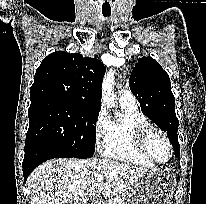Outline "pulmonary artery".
Instances as JSON below:
<instances>
[{
    "label": "pulmonary artery",
    "instance_id": "e3ab8cb5",
    "mask_svg": "<svg viewBox=\"0 0 206 204\" xmlns=\"http://www.w3.org/2000/svg\"><path fill=\"white\" fill-rule=\"evenodd\" d=\"M119 101L125 104L137 106L135 96L128 89H122L118 93Z\"/></svg>",
    "mask_w": 206,
    "mask_h": 204
}]
</instances>
